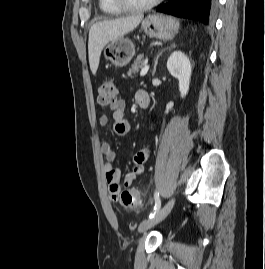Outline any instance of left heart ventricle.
<instances>
[{
    "label": "left heart ventricle",
    "instance_id": "1",
    "mask_svg": "<svg viewBox=\"0 0 265 269\" xmlns=\"http://www.w3.org/2000/svg\"><path fill=\"white\" fill-rule=\"evenodd\" d=\"M126 1L133 3V4H142V3H146L150 0H126Z\"/></svg>",
    "mask_w": 265,
    "mask_h": 269
}]
</instances>
